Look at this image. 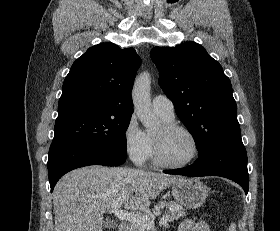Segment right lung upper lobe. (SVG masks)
Returning <instances> with one entry per match:
<instances>
[{"mask_svg":"<svg viewBox=\"0 0 280 231\" xmlns=\"http://www.w3.org/2000/svg\"><path fill=\"white\" fill-rule=\"evenodd\" d=\"M141 59L133 48L112 43L89 48L66 76L56 120L132 115L131 90Z\"/></svg>","mask_w":280,"mask_h":231,"instance_id":"1","label":"right lung upper lobe"}]
</instances>
